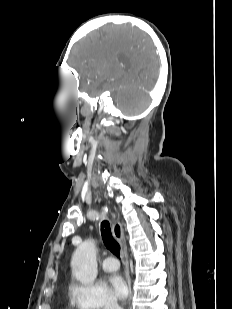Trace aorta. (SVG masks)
<instances>
[{"mask_svg":"<svg viewBox=\"0 0 232 309\" xmlns=\"http://www.w3.org/2000/svg\"><path fill=\"white\" fill-rule=\"evenodd\" d=\"M74 277L83 284L92 283L97 277V249L93 239L85 240L72 257Z\"/></svg>","mask_w":232,"mask_h":309,"instance_id":"aorta-1","label":"aorta"}]
</instances>
